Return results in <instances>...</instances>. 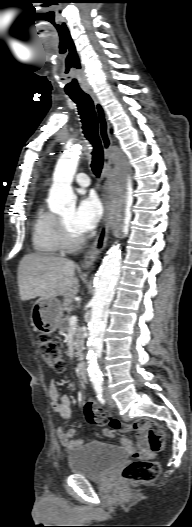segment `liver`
Here are the masks:
<instances>
[{"label": "liver", "mask_w": 192, "mask_h": 527, "mask_svg": "<svg viewBox=\"0 0 192 527\" xmlns=\"http://www.w3.org/2000/svg\"><path fill=\"white\" fill-rule=\"evenodd\" d=\"M75 268V263L66 258L34 253L25 255L18 267L21 300L63 296V306H69L79 291Z\"/></svg>", "instance_id": "obj_1"}]
</instances>
